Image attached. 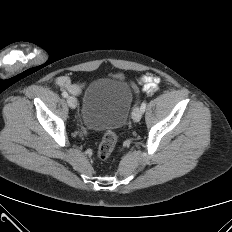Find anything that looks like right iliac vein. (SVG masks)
I'll return each instance as SVG.
<instances>
[{
	"label": "right iliac vein",
	"instance_id": "63e3f726",
	"mask_svg": "<svg viewBox=\"0 0 232 232\" xmlns=\"http://www.w3.org/2000/svg\"><path fill=\"white\" fill-rule=\"evenodd\" d=\"M67 103H68L69 107L72 108V109H75L76 106H77V100L73 96H69L67 98Z\"/></svg>",
	"mask_w": 232,
	"mask_h": 232
}]
</instances>
